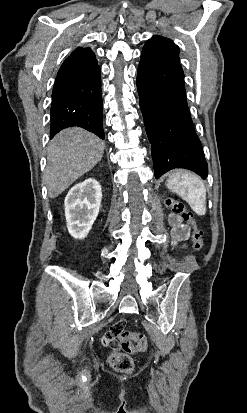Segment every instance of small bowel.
Wrapping results in <instances>:
<instances>
[{"mask_svg": "<svg viewBox=\"0 0 247 413\" xmlns=\"http://www.w3.org/2000/svg\"><path fill=\"white\" fill-rule=\"evenodd\" d=\"M169 223L172 226L171 237L173 244L177 245L186 241L189 235L188 227L181 224L176 216H171ZM183 247H185V245H183ZM114 329L115 330H110L109 334H104L102 340L104 348L112 349V352L116 353L117 349L115 348L116 343L114 337L117 336V331H124L126 329V324L124 322H116Z\"/></svg>", "mask_w": 247, "mask_h": 413, "instance_id": "c3829d8e", "label": "small bowel"}]
</instances>
